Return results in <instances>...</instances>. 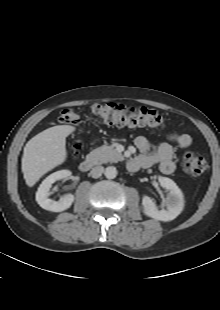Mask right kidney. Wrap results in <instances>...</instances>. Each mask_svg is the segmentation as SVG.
I'll list each match as a JSON object with an SVG mask.
<instances>
[{
	"instance_id": "ca27d5eb",
	"label": "right kidney",
	"mask_w": 220,
	"mask_h": 310,
	"mask_svg": "<svg viewBox=\"0 0 220 310\" xmlns=\"http://www.w3.org/2000/svg\"><path fill=\"white\" fill-rule=\"evenodd\" d=\"M71 175L69 170H60L50 174L39 186L36 192V201L45 210L52 212H62L72 205L74 196L67 194L59 201L49 199V190L54 182L61 179H67Z\"/></svg>"
}]
</instances>
